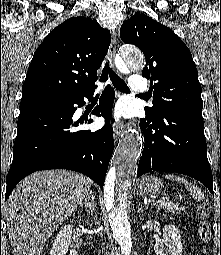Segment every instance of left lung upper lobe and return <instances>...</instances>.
Returning <instances> with one entry per match:
<instances>
[{
    "instance_id": "1",
    "label": "left lung upper lobe",
    "mask_w": 221,
    "mask_h": 255,
    "mask_svg": "<svg viewBox=\"0 0 221 255\" xmlns=\"http://www.w3.org/2000/svg\"><path fill=\"white\" fill-rule=\"evenodd\" d=\"M120 37L139 47L146 58L142 76L150 79L153 95V106L145 107L146 116L156 118L173 110L203 119L195 63L187 46L170 28L145 14H136L123 23Z\"/></svg>"
}]
</instances>
